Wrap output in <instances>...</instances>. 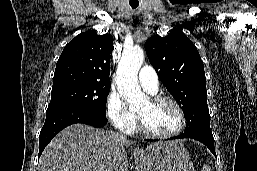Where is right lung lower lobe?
<instances>
[{"label": "right lung lower lobe", "instance_id": "1", "mask_svg": "<svg viewBox=\"0 0 257 171\" xmlns=\"http://www.w3.org/2000/svg\"><path fill=\"white\" fill-rule=\"evenodd\" d=\"M75 123H83L100 128L107 123V119L79 106H61L47 109L46 120L39 135L38 157L41 156L44 148L58 132Z\"/></svg>", "mask_w": 257, "mask_h": 171}]
</instances>
